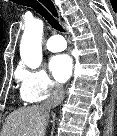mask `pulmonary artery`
Instances as JSON below:
<instances>
[{
	"label": "pulmonary artery",
	"instance_id": "1",
	"mask_svg": "<svg viewBox=\"0 0 117 136\" xmlns=\"http://www.w3.org/2000/svg\"><path fill=\"white\" fill-rule=\"evenodd\" d=\"M46 47L51 52H59L66 48V42L62 37L55 35L48 39Z\"/></svg>",
	"mask_w": 117,
	"mask_h": 136
}]
</instances>
